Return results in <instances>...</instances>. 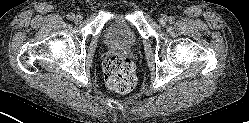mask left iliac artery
<instances>
[{"instance_id":"obj_1","label":"left iliac artery","mask_w":249,"mask_h":123,"mask_svg":"<svg viewBox=\"0 0 249 123\" xmlns=\"http://www.w3.org/2000/svg\"><path fill=\"white\" fill-rule=\"evenodd\" d=\"M168 21H169V23H174L175 22V18L173 17V16H169L168 17Z\"/></svg>"}]
</instances>
